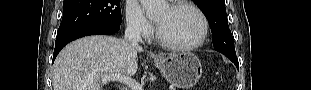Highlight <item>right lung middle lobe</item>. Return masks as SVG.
<instances>
[{
  "instance_id": "obj_1",
  "label": "right lung middle lobe",
  "mask_w": 311,
  "mask_h": 90,
  "mask_svg": "<svg viewBox=\"0 0 311 90\" xmlns=\"http://www.w3.org/2000/svg\"><path fill=\"white\" fill-rule=\"evenodd\" d=\"M120 0H64L57 35L90 26H120Z\"/></svg>"
}]
</instances>
